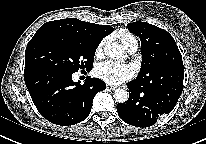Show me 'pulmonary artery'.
<instances>
[{"mask_svg":"<svg viewBox=\"0 0 206 144\" xmlns=\"http://www.w3.org/2000/svg\"><path fill=\"white\" fill-rule=\"evenodd\" d=\"M137 46H132V47H130L129 49H128V51L130 52V53H134V52H136V50H137Z\"/></svg>","mask_w":206,"mask_h":144,"instance_id":"e3ab8cb5","label":"pulmonary artery"}]
</instances>
